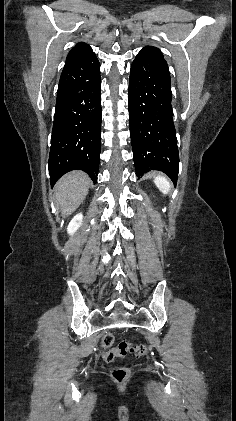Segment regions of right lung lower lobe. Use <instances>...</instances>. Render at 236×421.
Listing matches in <instances>:
<instances>
[{
  "mask_svg": "<svg viewBox=\"0 0 236 421\" xmlns=\"http://www.w3.org/2000/svg\"><path fill=\"white\" fill-rule=\"evenodd\" d=\"M100 92V64L95 55L64 66L57 90L49 155L52 186L71 170H83L97 183L101 151Z\"/></svg>",
  "mask_w": 236,
  "mask_h": 421,
  "instance_id": "1",
  "label": "right lung lower lobe"
}]
</instances>
